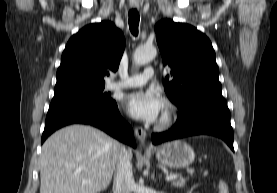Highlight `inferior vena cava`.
I'll list each match as a JSON object with an SVG mask.
<instances>
[{"instance_id":"obj_1","label":"inferior vena cava","mask_w":277,"mask_h":193,"mask_svg":"<svg viewBox=\"0 0 277 193\" xmlns=\"http://www.w3.org/2000/svg\"><path fill=\"white\" fill-rule=\"evenodd\" d=\"M134 185L130 152L121 147L118 152L115 168L113 191L114 193H131Z\"/></svg>"}]
</instances>
